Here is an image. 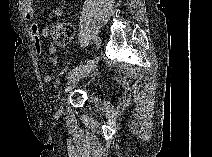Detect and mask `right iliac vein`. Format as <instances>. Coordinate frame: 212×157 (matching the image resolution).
<instances>
[{
	"instance_id": "1",
	"label": "right iliac vein",
	"mask_w": 212,
	"mask_h": 157,
	"mask_svg": "<svg viewBox=\"0 0 212 157\" xmlns=\"http://www.w3.org/2000/svg\"><path fill=\"white\" fill-rule=\"evenodd\" d=\"M98 61H99V57H96L91 64H89L87 67H85L78 73L72 75L68 84L76 83V82L80 81L81 79L87 77L89 74H91L94 71V69L96 68ZM60 109H62V104L60 106Z\"/></svg>"
}]
</instances>
